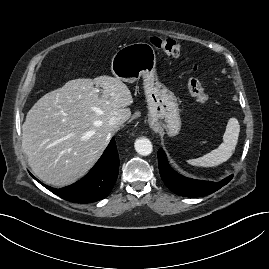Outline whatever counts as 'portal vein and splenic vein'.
<instances>
[{
    "mask_svg": "<svg viewBox=\"0 0 269 269\" xmlns=\"http://www.w3.org/2000/svg\"><path fill=\"white\" fill-rule=\"evenodd\" d=\"M96 92L99 93V89H97Z\"/></svg>",
    "mask_w": 269,
    "mask_h": 269,
    "instance_id": "obj_1",
    "label": "portal vein and splenic vein"
}]
</instances>
